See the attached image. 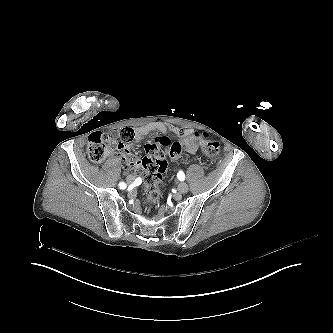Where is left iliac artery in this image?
I'll return each mask as SVG.
<instances>
[{
  "instance_id": "left-iliac-artery-1",
  "label": "left iliac artery",
  "mask_w": 333,
  "mask_h": 333,
  "mask_svg": "<svg viewBox=\"0 0 333 333\" xmlns=\"http://www.w3.org/2000/svg\"><path fill=\"white\" fill-rule=\"evenodd\" d=\"M177 177H178V179H179L180 181H183V180L185 179V174H184L182 171H180V172L177 174Z\"/></svg>"
}]
</instances>
